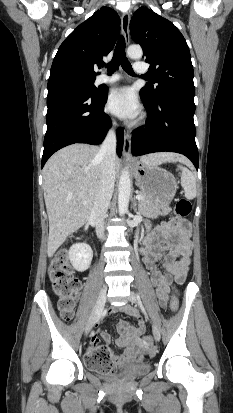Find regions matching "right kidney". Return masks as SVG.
<instances>
[{
  "label": "right kidney",
  "instance_id": "1",
  "mask_svg": "<svg viewBox=\"0 0 233 413\" xmlns=\"http://www.w3.org/2000/svg\"><path fill=\"white\" fill-rule=\"evenodd\" d=\"M68 256L74 269L83 272L90 267L93 251L88 244L76 243L70 247Z\"/></svg>",
  "mask_w": 233,
  "mask_h": 413
}]
</instances>
